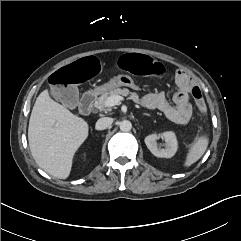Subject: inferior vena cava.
<instances>
[{"instance_id": "602c4592", "label": "inferior vena cava", "mask_w": 241, "mask_h": 241, "mask_svg": "<svg viewBox=\"0 0 241 241\" xmlns=\"http://www.w3.org/2000/svg\"><path fill=\"white\" fill-rule=\"evenodd\" d=\"M112 124V119L109 117H103L98 119L96 122V129L97 130H104L108 128Z\"/></svg>"}]
</instances>
